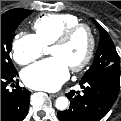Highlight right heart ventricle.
I'll use <instances>...</instances> for the list:
<instances>
[{
  "mask_svg": "<svg viewBox=\"0 0 121 121\" xmlns=\"http://www.w3.org/2000/svg\"><path fill=\"white\" fill-rule=\"evenodd\" d=\"M81 23L80 19L72 14H47L33 22L35 36L44 45H51L66 29Z\"/></svg>",
  "mask_w": 121,
  "mask_h": 121,
  "instance_id": "right-heart-ventricle-1",
  "label": "right heart ventricle"
}]
</instances>
